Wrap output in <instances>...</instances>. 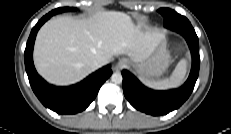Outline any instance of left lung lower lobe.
<instances>
[{
    "label": "left lung lower lobe",
    "instance_id": "0a47b994",
    "mask_svg": "<svg viewBox=\"0 0 231 134\" xmlns=\"http://www.w3.org/2000/svg\"><path fill=\"white\" fill-rule=\"evenodd\" d=\"M175 23L170 29L177 31L186 39L192 51L193 63L185 84L171 91H156L144 86L132 73L122 71L123 91L127 100L136 109L150 115H165L179 108L190 96L198 78L200 57L198 37L191 23L174 11Z\"/></svg>",
    "mask_w": 231,
    "mask_h": 134
}]
</instances>
